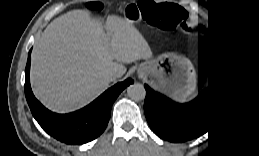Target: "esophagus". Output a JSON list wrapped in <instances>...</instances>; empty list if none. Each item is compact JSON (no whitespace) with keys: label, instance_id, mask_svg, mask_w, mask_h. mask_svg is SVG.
<instances>
[{"label":"esophagus","instance_id":"34e87169","mask_svg":"<svg viewBox=\"0 0 259 156\" xmlns=\"http://www.w3.org/2000/svg\"><path fill=\"white\" fill-rule=\"evenodd\" d=\"M140 77H141V78H144V74H140Z\"/></svg>","mask_w":259,"mask_h":156}]
</instances>
